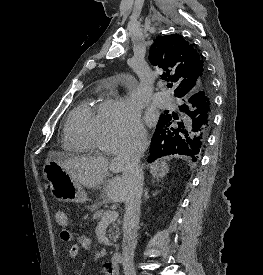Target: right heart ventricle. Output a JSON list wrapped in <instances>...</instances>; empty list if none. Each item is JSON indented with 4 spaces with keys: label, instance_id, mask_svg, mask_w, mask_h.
<instances>
[{
    "label": "right heart ventricle",
    "instance_id": "e07e8e85",
    "mask_svg": "<svg viewBox=\"0 0 263 275\" xmlns=\"http://www.w3.org/2000/svg\"><path fill=\"white\" fill-rule=\"evenodd\" d=\"M103 104L93 106L84 101L68 115L63 134V146L73 152L101 149Z\"/></svg>",
    "mask_w": 263,
    "mask_h": 275
}]
</instances>
